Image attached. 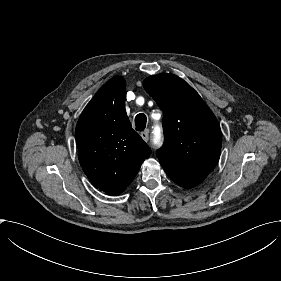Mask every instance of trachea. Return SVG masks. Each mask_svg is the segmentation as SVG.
Returning a JSON list of instances; mask_svg holds the SVG:
<instances>
[{
  "instance_id": "1",
  "label": "trachea",
  "mask_w": 281,
  "mask_h": 281,
  "mask_svg": "<svg viewBox=\"0 0 281 281\" xmlns=\"http://www.w3.org/2000/svg\"><path fill=\"white\" fill-rule=\"evenodd\" d=\"M147 117L140 113L135 117V128L137 131H144L146 128Z\"/></svg>"
}]
</instances>
